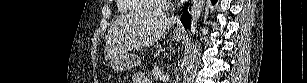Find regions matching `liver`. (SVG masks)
I'll return each mask as SVG.
<instances>
[{"label":"liver","mask_w":307,"mask_h":83,"mask_svg":"<svg viewBox=\"0 0 307 83\" xmlns=\"http://www.w3.org/2000/svg\"><path fill=\"white\" fill-rule=\"evenodd\" d=\"M176 18L154 12L126 15L110 27L105 46V60L123 55L127 50L152 46L165 36Z\"/></svg>","instance_id":"6515ba94"}]
</instances>
